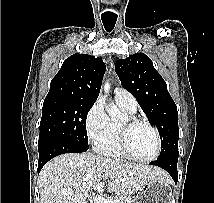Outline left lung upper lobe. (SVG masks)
Returning <instances> with one entry per match:
<instances>
[{"label": "left lung upper lobe", "instance_id": "left-lung-upper-lobe-1", "mask_svg": "<svg viewBox=\"0 0 214 203\" xmlns=\"http://www.w3.org/2000/svg\"><path fill=\"white\" fill-rule=\"evenodd\" d=\"M115 71L122 86L129 91L143 109L150 124L156 125L161 138L158 159L177 158L178 112L162 76L155 70L151 59L144 53H136L119 59Z\"/></svg>", "mask_w": 214, "mask_h": 203}]
</instances>
